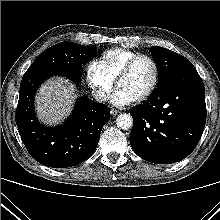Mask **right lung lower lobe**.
Returning <instances> with one entry per match:
<instances>
[{
	"label": "right lung lower lobe",
	"mask_w": 220,
	"mask_h": 220,
	"mask_svg": "<svg viewBox=\"0 0 220 220\" xmlns=\"http://www.w3.org/2000/svg\"><path fill=\"white\" fill-rule=\"evenodd\" d=\"M55 75L68 77L77 84L81 69L27 71L20 84L15 118L25 147L36 161L48 167L67 168L84 162L94 153L101 130L110 120V109L80 97L62 125L48 128L39 124L34 113V96L39 85Z\"/></svg>",
	"instance_id": "right-lung-lower-lobe-1"
}]
</instances>
